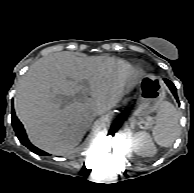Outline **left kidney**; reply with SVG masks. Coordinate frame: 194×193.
<instances>
[{
    "mask_svg": "<svg viewBox=\"0 0 194 193\" xmlns=\"http://www.w3.org/2000/svg\"><path fill=\"white\" fill-rule=\"evenodd\" d=\"M133 150L142 157H153L157 153V148L148 132H136L133 137Z\"/></svg>",
    "mask_w": 194,
    "mask_h": 193,
    "instance_id": "5707ae66",
    "label": "left kidney"
}]
</instances>
